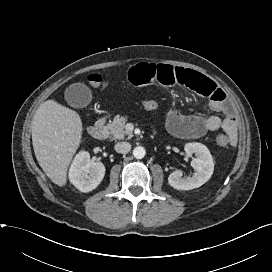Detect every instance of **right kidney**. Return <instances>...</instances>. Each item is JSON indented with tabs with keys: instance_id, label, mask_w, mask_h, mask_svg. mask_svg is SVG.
<instances>
[{
	"instance_id": "1",
	"label": "right kidney",
	"mask_w": 272,
	"mask_h": 272,
	"mask_svg": "<svg viewBox=\"0 0 272 272\" xmlns=\"http://www.w3.org/2000/svg\"><path fill=\"white\" fill-rule=\"evenodd\" d=\"M105 175V167L101 162H91L90 154L79 152L69 170L70 182L81 192L95 189Z\"/></svg>"
}]
</instances>
